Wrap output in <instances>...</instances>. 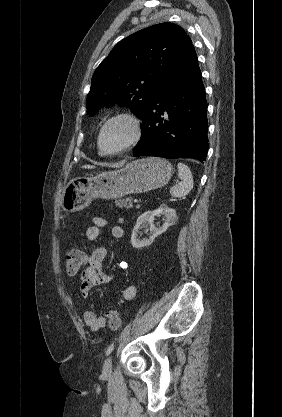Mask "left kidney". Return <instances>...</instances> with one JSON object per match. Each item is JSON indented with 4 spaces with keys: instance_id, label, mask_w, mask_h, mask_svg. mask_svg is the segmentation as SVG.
Here are the masks:
<instances>
[{
    "instance_id": "5707ae66",
    "label": "left kidney",
    "mask_w": 282,
    "mask_h": 417,
    "mask_svg": "<svg viewBox=\"0 0 282 417\" xmlns=\"http://www.w3.org/2000/svg\"><path fill=\"white\" fill-rule=\"evenodd\" d=\"M161 215H164V217H166V221L165 223H163L162 227H159V229H155V225H153L154 219L155 217H161ZM176 223H178L176 211H174V209H169V206H167V204H160V206H158V209H155V211H146V213H143V215H140V217H138L136 225L132 231V247H134V249H142V247H149V245H152L154 239H156L158 235H162V233H165V231H167L168 227H172V225H176ZM140 229H146V231L147 229H149V239H143V241L137 239L138 233H140Z\"/></svg>"
}]
</instances>
